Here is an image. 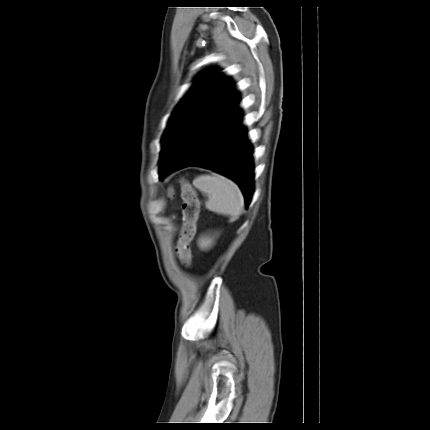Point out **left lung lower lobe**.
<instances>
[{
	"label": "left lung lower lobe",
	"mask_w": 430,
	"mask_h": 430,
	"mask_svg": "<svg viewBox=\"0 0 430 430\" xmlns=\"http://www.w3.org/2000/svg\"><path fill=\"white\" fill-rule=\"evenodd\" d=\"M241 117L209 115L201 120L188 140L161 165L160 179L174 170L201 166L235 181L242 189L246 205L253 194V149Z\"/></svg>",
	"instance_id": "left-lung-lower-lobe-1"
}]
</instances>
